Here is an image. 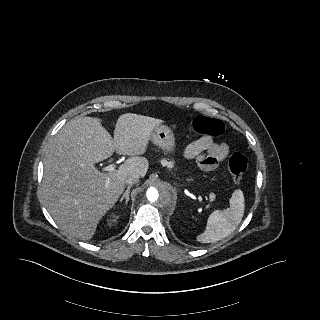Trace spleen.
<instances>
[{
  "mask_svg": "<svg viewBox=\"0 0 320 320\" xmlns=\"http://www.w3.org/2000/svg\"><path fill=\"white\" fill-rule=\"evenodd\" d=\"M230 207L224 211L213 212L207 220L205 231L197 236L201 243H211L229 236L240 224L244 215V195L235 190L229 200Z\"/></svg>",
  "mask_w": 320,
  "mask_h": 320,
  "instance_id": "1",
  "label": "spleen"
}]
</instances>
